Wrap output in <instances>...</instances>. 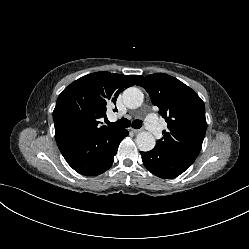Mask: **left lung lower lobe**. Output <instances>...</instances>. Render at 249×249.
Masks as SVG:
<instances>
[{
	"label": "left lung lower lobe",
	"instance_id": "1",
	"mask_svg": "<svg viewBox=\"0 0 249 249\" xmlns=\"http://www.w3.org/2000/svg\"><path fill=\"white\" fill-rule=\"evenodd\" d=\"M145 167L154 175L168 179L182 174L197 158L196 155L155 147L149 152H140Z\"/></svg>",
	"mask_w": 249,
	"mask_h": 249
}]
</instances>
